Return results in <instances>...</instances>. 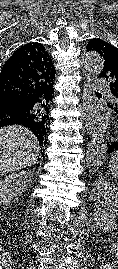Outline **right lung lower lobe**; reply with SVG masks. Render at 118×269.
<instances>
[{
    "instance_id": "obj_1",
    "label": "right lung lower lobe",
    "mask_w": 118,
    "mask_h": 269,
    "mask_svg": "<svg viewBox=\"0 0 118 269\" xmlns=\"http://www.w3.org/2000/svg\"><path fill=\"white\" fill-rule=\"evenodd\" d=\"M36 112L37 101L32 96L0 95V127L19 124L32 130ZM38 141L42 145L46 141V136Z\"/></svg>"
}]
</instances>
